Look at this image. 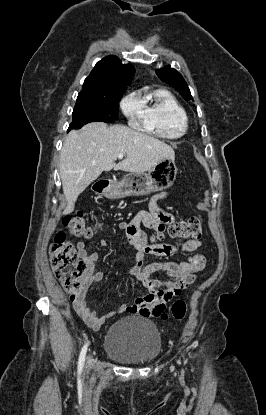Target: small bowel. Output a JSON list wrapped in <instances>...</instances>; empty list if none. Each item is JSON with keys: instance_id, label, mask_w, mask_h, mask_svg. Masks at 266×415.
I'll use <instances>...</instances> for the list:
<instances>
[{"instance_id": "1", "label": "small bowel", "mask_w": 266, "mask_h": 415, "mask_svg": "<svg viewBox=\"0 0 266 415\" xmlns=\"http://www.w3.org/2000/svg\"><path fill=\"white\" fill-rule=\"evenodd\" d=\"M165 193L154 195L148 210L139 211L130 222H122L117 227L126 232L129 243L136 250L135 265L129 271L128 276L140 281L148 290V294L136 299L133 304H122L116 311H110L98 316L86 302L89 289L102 281L103 273L96 271V262L99 259L97 253H88L85 243L78 242L79 256L85 261L87 270L81 279L78 296L71 300L74 311L93 330H98L107 320L116 314H140L148 316L152 310L165 309L166 303L192 284L205 268L206 260L201 254H193L182 262H159L146 264L148 255L169 257L178 252L191 253L201 247L202 242L195 239L182 241L176 244H149L145 233L140 226L153 229L156 232L164 230L174 221V217L158 206V201L165 198ZM103 248L108 247V241L101 239L99 242ZM156 272H163L167 278L159 280L152 277Z\"/></svg>"}]
</instances>
